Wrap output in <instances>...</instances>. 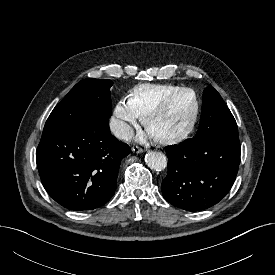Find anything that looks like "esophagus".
<instances>
[{
    "label": "esophagus",
    "mask_w": 275,
    "mask_h": 275,
    "mask_svg": "<svg viewBox=\"0 0 275 275\" xmlns=\"http://www.w3.org/2000/svg\"><path fill=\"white\" fill-rule=\"evenodd\" d=\"M132 151L135 153H142V152H144V149L139 146H134V147H132Z\"/></svg>",
    "instance_id": "obj_1"
}]
</instances>
